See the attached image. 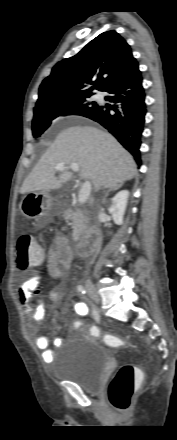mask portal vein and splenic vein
Segmentation results:
<instances>
[{"mask_svg":"<svg viewBox=\"0 0 177 440\" xmlns=\"http://www.w3.org/2000/svg\"><path fill=\"white\" fill-rule=\"evenodd\" d=\"M64 168H65L64 163H58L55 166V169L57 171H62V170H64ZM70 168L75 172L79 171V165L77 163H72L70 165ZM90 192H91V183H90V181H85L84 184L82 185V188H81L79 195H78L79 203H81V204L85 203L90 195Z\"/></svg>","mask_w":177,"mask_h":440,"instance_id":"1","label":"portal vein and splenic vein"}]
</instances>
